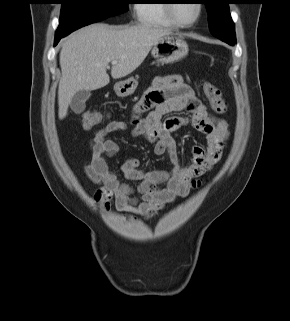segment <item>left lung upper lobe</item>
Listing matches in <instances>:
<instances>
[{"instance_id": "1", "label": "left lung upper lobe", "mask_w": 290, "mask_h": 321, "mask_svg": "<svg viewBox=\"0 0 290 321\" xmlns=\"http://www.w3.org/2000/svg\"><path fill=\"white\" fill-rule=\"evenodd\" d=\"M208 12L209 28L213 36H235V26L229 12L230 0H203Z\"/></svg>"}]
</instances>
